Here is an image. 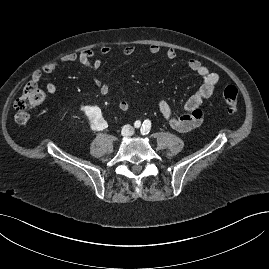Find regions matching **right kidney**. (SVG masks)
<instances>
[{
    "label": "right kidney",
    "mask_w": 269,
    "mask_h": 269,
    "mask_svg": "<svg viewBox=\"0 0 269 269\" xmlns=\"http://www.w3.org/2000/svg\"><path fill=\"white\" fill-rule=\"evenodd\" d=\"M85 110L89 120L94 123L97 129H103L106 126V121L102 118L101 112L97 108L86 107Z\"/></svg>",
    "instance_id": "obj_1"
}]
</instances>
